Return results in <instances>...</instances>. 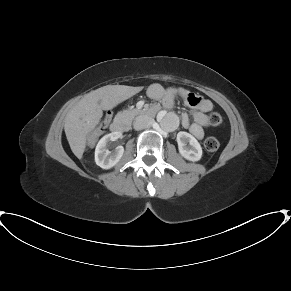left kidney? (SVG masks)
<instances>
[{"label": "left kidney", "mask_w": 291, "mask_h": 291, "mask_svg": "<svg viewBox=\"0 0 291 291\" xmlns=\"http://www.w3.org/2000/svg\"><path fill=\"white\" fill-rule=\"evenodd\" d=\"M176 140L178 143L179 153L182 157L192 162H196L201 159L202 148L195 137L187 132L180 131L177 134Z\"/></svg>", "instance_id": "obj_1"}]
</instances>
